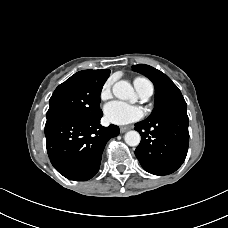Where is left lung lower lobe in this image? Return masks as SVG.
<instances>
[{
  "label": "left lung lower lobe",
  "mask_w": 228,
  "mask_h": 228,
  "mask_svg": "<svg viewBox=\"0 0 228 228\" xmlns=\"http://www.w3.org/2000/svg\"><path fill=\"white\" fill-rule=\"evenodd\" d=\"M188 124L187 106L173 109L154 121L135 124L141 135L135 155L147 172L168 175L182 165L188 151Z\"/></svg>",
  "instance_id": "1"
}]
</instances>
